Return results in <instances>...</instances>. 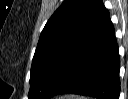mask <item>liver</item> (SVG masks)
Returning a JSON list of instances; mask_svg holds the SVG:
<instances>
[{
  "label": "liver",
  "instance_id": "obj_1",
  "mask_svg": "<svg viewBox=\"0 0 128 99\" xmlns=\"http://www.w3.org/2000/svg\"><path fill=\"white\" fill-rule=\"evenodd\" d=\"M66 98H67V99H82V98H79V97H77V96H67Z\"/></svg>",
  "mask_w": 128,
  "mask_h": 99
}]
</instances>
